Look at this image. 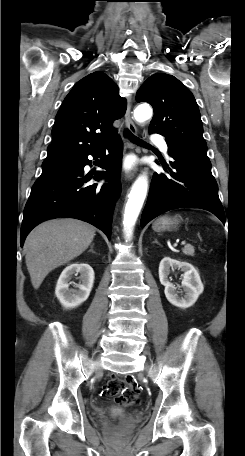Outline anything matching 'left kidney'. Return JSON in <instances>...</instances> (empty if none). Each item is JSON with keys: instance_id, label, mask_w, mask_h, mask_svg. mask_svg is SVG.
<instances>
[{"instance_id": "5707ae66", "label": "left kidney", "mask_w": 245, "mask_h": 456, "mask_svg": "<svg viewBox=\"0 0 245 456\" xmlns=\"http://www.w3.org/2000/svg\"><path fill=\"white\" fill-rule=\"evenodd\" d=\"M177 268L184 272L181 285L185 292L184 297L178 295L175 285L168 280L171 269ZM159 279L165 287L164 293L167 300L172 305L183 309L191 307L204 290L199 273L191 264L180 262L170 257H164L161 260L159 265Z\"/></svg>"}]
</instances>
